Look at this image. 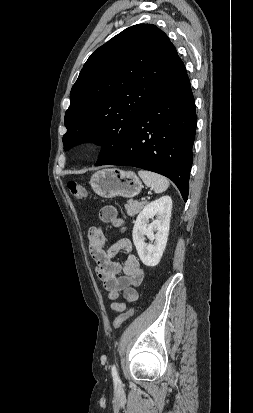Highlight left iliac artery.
I'll return each mask as SVG.
<instances>
[{
    "label": "left iliac artery",
    "instance_id": "44dca946",
    "mask_svg": "<svg viewBox=\"0 0 253 413\" xmlns=\"http://www.w3.org/2000/svg\"><path fill=\"white\" fill-rule=\"evenodd\" d=\"M111 372H112L113 379H114L115 381H118V380H119V376H118V372H117V369H116V366H115V365L112 366Z\"/></svg>",
    "mask_w": 253,
    "mask_h": 413
}]
</instances>
